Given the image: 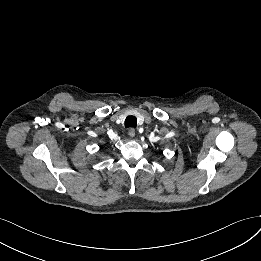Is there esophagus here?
Returning <instances> with one entry per match:
<instances>
[{
	"mask_svg": "<svg viewBox=\"0 0 261 261\" xmlns=\"http://www.w3.org/2000/svg\"><path fill=\"white\" fill-rule=\"evenodd\" d=\"M128 135H129L130 137H134V136H135V129H134V128H129V130H128Z\"/></svg>",
	"mask_w": 261,
	"mask_h": 261,
	"instance_id": "34e87169",
	"label": "esophagus"
}]
</instances>
